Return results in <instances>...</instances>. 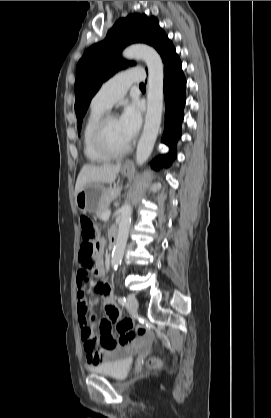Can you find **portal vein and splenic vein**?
<instances>
[{"label": "portal vein and splenic vein", "mask_w": 271, "mask_h": 418, "mask_svg": "<svg viewBox=\"0 0 271 418\" xmlns=\"http://www.w3.org/2000/svg\"><path fill=\"white\" fill-rule=\"evenodd\" d=\"M110 215H111V211H110V210H108L106 213H104V214H103V216H102V220H106V219H108V218L110 217Z\"/></svg>", "instance_id": "18ae733b"}]
</instances>
